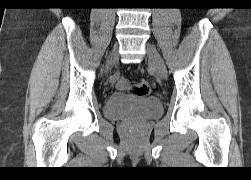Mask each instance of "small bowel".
<instances>
[{
	"label": "small bowel",
	"instance_id": "obj_1",
	"mask_svg": "<svg viewBox=\"0 0 251 180\" xmlns=\"http://www.w3.org/2000/svg\"><path fill=\"white\" fill-rule=\"evenodd\" d=\"M128 85L127 81L124 80V79H119L118 82H117V86L121 89H124L126 88Z\"/></svg>",
	"mask_w": 251,
	"mask_h": 180
}]
</instances>
